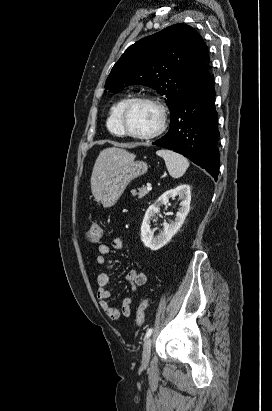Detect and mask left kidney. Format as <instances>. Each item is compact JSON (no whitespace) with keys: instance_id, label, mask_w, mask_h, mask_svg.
Segmentation results:
<instances>
[{"instance_id":"5707ae66","label":"left kidney","mask_w":272,"mask_h":411,"mask_svg":"<svg viewBox=\"0 0 272 411\" xmlns=\"http://www.w3.org/2000/svg\"><path fill=\"white\" fill-rule=\"evenodd\" d=\"M175 196H179V199L182 200V204L176 214V218L170 224L164 223L163 232L154 238V232L151 231L150 228V220L159 213L161 205H166L169 202V199ZM190 202V186L188 184H182L174 189L166 191L151 206H149L141 225V240L144 245L151 250H158L166 245L184 223V220L190 210Z\"/></svg>"}]
</instances>
